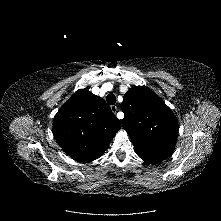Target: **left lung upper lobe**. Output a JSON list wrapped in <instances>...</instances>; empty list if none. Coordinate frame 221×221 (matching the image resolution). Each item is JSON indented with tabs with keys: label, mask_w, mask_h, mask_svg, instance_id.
Segmentation results:
<instances>
[{
	"label": "left lung upper lobe",
	"mask_w": 221,
	"mask_h": 221,
	"mask_svg": "<svg viewBox=\"0 0 221 221\" xmlns=\"http://www.w3.org/2000/svg\"><path fill=\"white\" fill-rule=\"evenodd\" d=\"M121 109L125 115L123 128L143 161L156 164L173 153L178 136L177 119L148 87L130 89L124 95Z\"/></svg>",
	"instance_id": "5c2ea615"
}]
</instances>
